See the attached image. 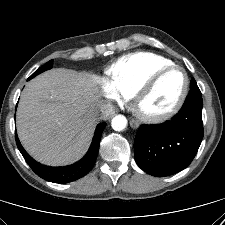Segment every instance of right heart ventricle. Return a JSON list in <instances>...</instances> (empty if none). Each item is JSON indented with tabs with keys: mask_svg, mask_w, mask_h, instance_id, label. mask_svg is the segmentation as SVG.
I'll return each instance as SVG.
<instances>
[{
	"mask_svg": "<svg viewBox=\"0 0 225 225\" xmlns=\"http://www.w3.org/2000/svg\"><path fill=\"white\" fill-rule=\"evenodd\" d=\"M172 64V60L154 53H132L107 70L108 81L123 98L129 99L151 74Z\"/></svg>",
	"mask_w": 225,
	"mask_h": 225,
	"instance_id": "e07e8e85",
	"label": "right heart ventricle"
}]
</instances>
